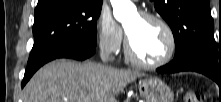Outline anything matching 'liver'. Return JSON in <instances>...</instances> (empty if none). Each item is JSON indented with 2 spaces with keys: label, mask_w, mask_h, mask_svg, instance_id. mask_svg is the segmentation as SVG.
Listing matches in <instances>:
<instances>
[{
  "label": "liver",
  "mask_w": 221,
  "mask_h": 102,
  "mask_svg": "<svg viewBox=\"0 0 221 102\" xmlns=\"http://www.w3.org/2000/svg\"><path fill=\"white\" fill-rule=\"evenodd\" d=\"M144 76L96 63L60 59L40 68L23 90V102H117L127 84Z\"/></svg>",
  "instance_id": "6515ba94"
}]
</instances>
